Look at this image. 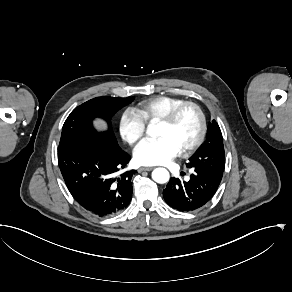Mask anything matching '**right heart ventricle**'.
<instances>
[{
	"mask_svg": "<svg viewBox=\"0 0 292 292\" xmlns=\"http://www.w3.org/2000/svg\"><path fill=\"white\" fill-rule=\"evenodd\" d=\"M185 101L183 98L175 95H157L141 100L137 105V112L146 123L164 115L172 106Z\"/></svg>",
	"mask_w": 292,
	"mask_h": 292,
	"instance_id": "obj_1",
	"label": "right heart ventricle"
}]
</instances>
